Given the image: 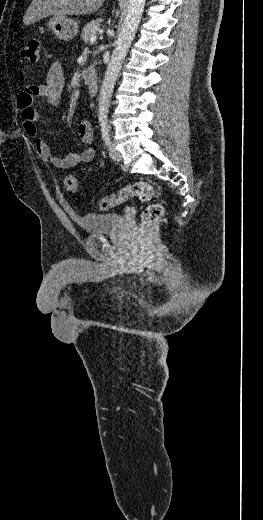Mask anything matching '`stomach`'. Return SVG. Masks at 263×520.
I'll use <instances>...</instances> for the list:
<instances>
[{
	"label": "stomach",
	"instance_id": "obj_1",
	"mask_svg": "<svg viewBox=\"0 0 263 520\" xmlns=\"http://www.w3.org/2000/svg\"><path fill=\"white\" fill-rule=\"evenodd\" d=\"M47 26L53 34L65 41L74 38L79 31V26L76 21L62 15H54L51 17Z\"/></svg>",
	"mask_w": 263,
	"mask_h": 520
}]
</instances>
